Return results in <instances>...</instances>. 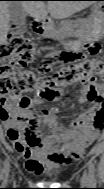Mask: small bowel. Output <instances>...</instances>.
I'll list each match as a JSON object with an SVG mask.
<instances>
[{"mask_svg":"<svg viewBox=\"0 0 104 189\" xmlns=\"http://www.w3.org/2000/svg\"><path fill=\"white\" fill-rule=\"evenodd\" d=\"M77 100L79 103L89 102L91 108L64 128L58 125L57 109L44 110L43 117L39 118L32 102L21 105L17 101L1 100L0 118L6 135L24 158L29 172L40 175L69 164L82 156L85 148L96 140L104 125L100 86L86 80ZM43 131H46L45 135H42Z\"/></svg>","mask_w":104,"mask_h":189,"instance_id":"obj_1","label":"small bowel"}]
</instances>
